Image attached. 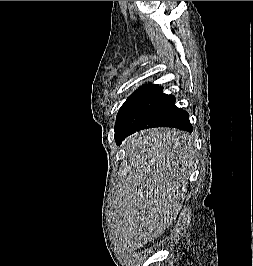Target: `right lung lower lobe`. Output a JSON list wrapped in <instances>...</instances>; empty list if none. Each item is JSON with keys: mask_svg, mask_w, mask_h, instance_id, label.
I'll use <instances>...</instances> for the list:
<instances>
[{"mask_svg": "<svg viewBox=\"0 0 253 266\" xmlns=\"http://www.w3.org/2000/svg\"><path fill=\"white\" fill-rule=\"evenodd\" d=\"M160 126L174 127V128L188 131V132H192V125L190 124V121H189V114L185 110H182L175 106V98H174L170 111L166 114L165 118L162 121H159L158 123L152 126L132 129L124 123L122 124L116 123L115 124V140L118 144H120L127 136H129L130 134L136 131H139L145 128L160 127Z\"/></svg>", "mask_w": 253, "mask_h": 266, "instance_id": "obj_1", "label": "right lung lower lobe"}]
</instances>
